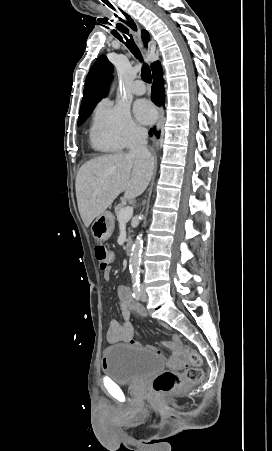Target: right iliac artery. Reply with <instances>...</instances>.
Segmentation results:
<instances>
[{
    "instance_id": "82829eb1",
    "label": "right iliac artery",
    "mask_w": 272,
    "mask_h": 451,
    "mask_svg": "<svg viewBox=\"0 0 272 451\" xmlns=\"http://www.w3.org/2000/svg\"><path fill=\"white\" fill-rule=\"evenodd\" d=\"M132 296L135 300L139 301L141 298V286L139 282H134L132 287Z\"/></svg>"
}]
</instances>
